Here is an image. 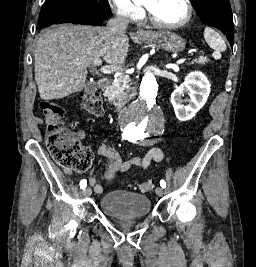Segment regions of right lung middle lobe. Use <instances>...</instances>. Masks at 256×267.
I'll return each instance as SVG.
<instances>
[{"label":"right lung middle lobe","instance_id":"right-lung-middle-lobe-1","mask_svg":"<svg viewBox=\"0 0 256 267\" xmlns=\"http://www.w3.org/2000/svg\"><path fill=\"white\" fill-rule=\"evenodd\" d=\"M80 15L106 18L112 13L107 0H45L40 12L39 24L59 17Z\"/></svg>","mask_w":256,"mask_h":267}]
</instances>
